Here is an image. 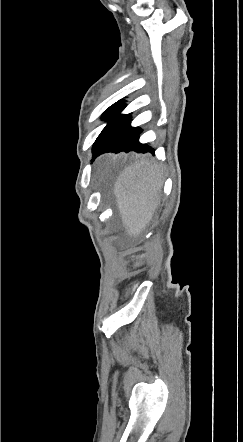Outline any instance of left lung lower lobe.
Instances as JSON below:
<instances>
[{
  "label": "left lung lower lobe",
  "mask_w": 243,
  "mask_h": 442,
  "mask_svg": "<svg viewBox=\"0 0 243 442\" xmlns=\"http://www.w3.org/2000/svg\"><path fill=\"white\" fill-rule=\"evenodd\" d=\"M123 101L114 104L103 116L108 124L93 145V159L106 152L136 151L137 153L150 152L154 154V150L150 146L139 143L138 135L142 132V129L131 127V115L119 114L125 107Z\"/></svg>",
  "instance_id": "obj_1"
}]
</instances>
